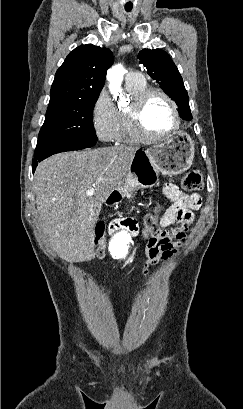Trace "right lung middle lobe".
<instances>
[{
	"mask_svg": "<svg viewBox=\"0 0 243 409\" xmlns=\"http://www.w3.org/2000/svg\"><path fill=\"white\" fill-rule=\"evenodd\" d=\"M96 101L49 102L38 140H98L92 120Z\"/></svg>",
	"mask_w": 243,
	"mask_h": 409,
	"instance_id": "obj_1",
	"label": "right lung middle lobe"
}]
</instances>
